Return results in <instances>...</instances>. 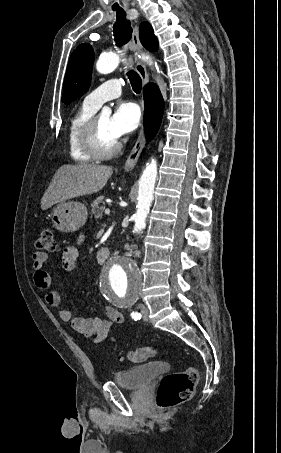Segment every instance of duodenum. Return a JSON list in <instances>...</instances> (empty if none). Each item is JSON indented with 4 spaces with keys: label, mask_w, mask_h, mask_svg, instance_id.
I'll use <instances>...</instances> for the list:
<instances>
[{
    "label": "duodenum",
    "mask_w": 281,
    "mask_h": 453,
    "mask_svg": "<svg viewBox=\"0 0 281 453\" xmlns=\"http://www.w3.org/2000/svg\"><path fill=\"white\" fill-rule=\"evenodd\" d=\"M110 255V251L107 247L100 248L96 253V260L99 264H103Z\"/></svg>",
    "instance_id": "410a0bca"
}]
</instances>
